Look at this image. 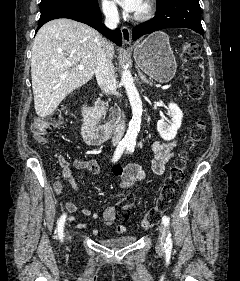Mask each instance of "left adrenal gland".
Returning a JSON list of instances; mask_svg holds the SVG:
<instances>
[{
	"mask_svg": "<svg viewBox=\"0 0 240 281\" xmlns=\"http://www.w3.org/2000/svg\"><path fill=\"white\" fill-rule=\"evenodd\" d=\"M138 74H139V77H140L141 81H143L144 83L152 86L153 83L150 80H148L140 70H138Z\"/></svg>",
	"mask_w": 240,
	"mask_h": 281,
	"instance_id": "obj_1",
	"label": "left adrenal gland"
}]
</instances>
